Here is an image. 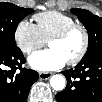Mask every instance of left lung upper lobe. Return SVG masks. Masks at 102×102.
I'll use <instances>...</instances> for the list:
<instances>
[{
	"label": "left lung upper lobe",
	"instance_id": "obj_1",
	"mask_svg": "<svg viewBox=\"0 0 102 102\" xmlns=\"http://www.w3.org/2000/svg\"><path fill=\"white\" fill-rule=\"evenodd\" d=\"M71 12L78 16L88 31L89 45L85 56L102 51V18L84 9H71Z\"/></svg>",
	"mask_w": 102,
	"mask_h": 102
}]
</instances>
